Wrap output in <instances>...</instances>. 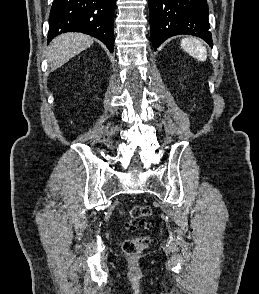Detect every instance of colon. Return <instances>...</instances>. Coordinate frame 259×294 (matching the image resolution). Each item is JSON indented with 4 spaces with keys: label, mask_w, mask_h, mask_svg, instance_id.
<instances>
[{
    "label": "colon",
    "mask_w": 259,
    "mask_h": 294,
    "mask_svg": "<svg viewBox=\"0 0 259 294\" xmlns=\"http://www.w3.org/2000/svg\"><path fill=\"white\" fill-rule=\"evenodd\" d=\"M126 213L132 219L140 221L139 223H130L128 225L130 229H137L139 227L149 228V225L143 221V219L149 217L151 214V209L148 206L135 205L129 208ZM150 242L151 240L147 236L132 237L123 242L122 249L125 254L135 256L142 253L150 245Z\"/></svg>",
    "instance_id": "obj_1"
}]
</instances>
